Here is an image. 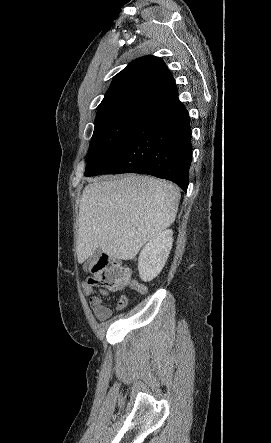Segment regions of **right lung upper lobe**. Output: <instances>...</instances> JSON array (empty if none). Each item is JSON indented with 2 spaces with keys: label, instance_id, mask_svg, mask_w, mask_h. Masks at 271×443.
<instances>
[{
  "label": "right lung upper lobe",
  "instance_id": "right-lung-upper-lobe-1",
  "mask_svg": "<svg viewBox=\"0 0 271 443\" xmlns=\"http://www.w3.org/2000/svg\"><path fill=\"white\" fill-rule=\"evenodd\" d=\"M177 95L175 81L165 63L158 57L144 56L113 78L99 106L124 100L156 104Z\"/></svg>",
  "mask_w": 271,
  "mask_h": 443
}]
</instances>
